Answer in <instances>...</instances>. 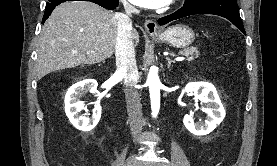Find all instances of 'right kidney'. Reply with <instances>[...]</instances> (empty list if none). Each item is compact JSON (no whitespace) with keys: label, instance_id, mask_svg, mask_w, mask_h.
Listing matches in <instances>:
<instances>
[{"label":"right kidney","instance_id":"obj_1","mask_svg":"<svg viewBox=\"0 0 277 166\" xmlns=\"http://www.w3.org/2000/svg\"><path fill=\"white\" fill-rule=\"evenodd\" d=\"M95 80H84L72 85L65 95V112L71 124L84 132L91 131L99 122L101 117V106L99 101L95 102L93 116L91 119L80 116L78 113L84 109L83 102L79 100L84 93H95L97 90Z\"/></svg>","mask_w":277,"mask_h":166}]
</instances>
